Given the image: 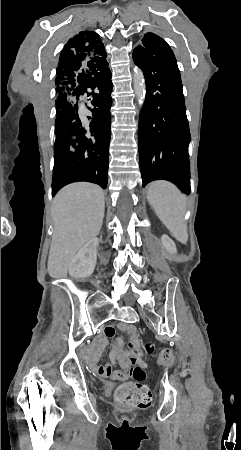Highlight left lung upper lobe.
<instances>
[{
  "label": "left lung upper lobe",
  "mask_w": 241,
  "mask_h": 450,
  "mask_svg": "<svg viewBox=\"0 0 241 450\" xmlns=\"http://www.w3.org/2000/svg\"><path fill=\"white\" fill-rule=\"evenodd\" d=\"M141 43L142 45L137 46L136 49L151 53L158 52L167 45L162 38L153 33H146L141 39Z\"/></svg>",
  "instance_id": "obj_1"
}]
</instances>
